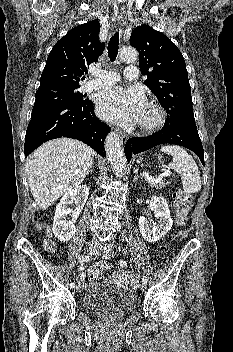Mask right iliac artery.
Segmentation results:
<instances>
[{"label": "right iliac artery", "instance_id": "1", "mask_svg": "<svg viewBox=\"0 0 233 352\" xmlns=\"http://www.w3.org/2000/svg\"><path fill=\"white\" fill-rule=\"evenodd\" d=\"M91 259H92L91 256H85V255L79 256V261H80V263L88 262V261H90ZM70 287H71V288H74V287H75V283H74V282L70 283Z\"/></svg>", "mask_w": 233, "mask_h": 352}]
</instances>
